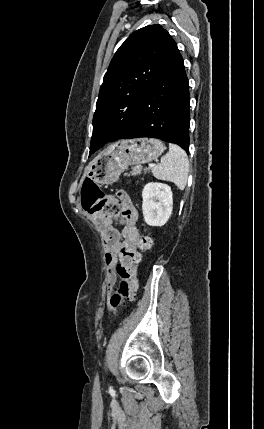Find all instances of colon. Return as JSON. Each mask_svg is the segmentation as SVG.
Here are the masks:
<instances>
[{"label":"colon","instance_id":"obj_1","mask_svg":"<svg viewBox=\"0 0 264 429\" xmlns=\"http://www.w3.org/2000/svg\"><path fill=\"white\" fill-rule=\"evenodd\" d=\"M81 203L83 208L90 214H104L108 217H120L119 202L110 195H106L97 184L85 181L81 189ZM152 246V239L143 235L138 249L125 250L121 253L116 265L118 283L112 288L109 297L110 307L113 309L124 306L126 302L135 298L138 281L137 267L140 262L141 252Z\"/></svg>","mask_w":264,"mask_h":429}]
</instances>
